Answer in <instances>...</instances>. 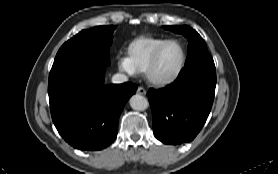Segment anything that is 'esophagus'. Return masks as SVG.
I'll list each match as a JSON object with an SVG mask.
<instances>
[{
    "mask_svg": "<svg viewBox=\"0 0 278 174\" xmlns=\"http://www.w3.org/2000/svg\"><path fill=\"white\" fill-rule=\"evenodd\" d=\"M137 93L140 95H145L146 94V90L143 87H138L137 89Z\"/></svg>",
    "mask_w": 278,
    "mask_h": 174,
    "instance_id": "obj_1",
    "label": "esophagus"
}]
</instances>
